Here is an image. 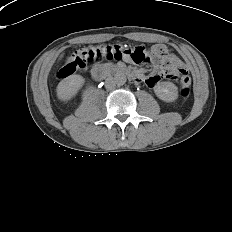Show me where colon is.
Masks as SVG:
<instances>
[{"label":"colon","instance_id":"obj_1","mask_svg":"<svg viewBox=\"0 0 232 232\" xmlns=\"http://www.w3.org/2000/svg\"><path fill=\"white\" fill-rule=\"evenodd\" d=\"M122 58L137 64L147 62L150 59L161 63L162 78H177L180 84L181 96L184 98L189 96L191 89L189 74L186 69L177 67L173 57L168 53L164 45H156L150 54L140 47L126 48L118 45L82 48L66 60L57 71L56 76L62 79L76 71L85 70L92 62L120 60Z\"/></svg>","mask_w":232,"mask_h":232}]
</instances>
